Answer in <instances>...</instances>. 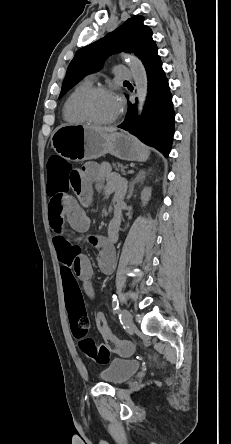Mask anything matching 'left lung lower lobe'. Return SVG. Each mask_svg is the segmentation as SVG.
<instances>
[{
	"mask_svg": "<svg viewBox=\"0 0 231 444\" xmlns=\"http://www.w3.org/2000/svg\"><path fill=\"white\" fill-rule=\"evenodd\" d=\"M144 67L148 79V95L143 115L138 117L137 106L129 102L127 116L118 127L168 156L174 135L175 113L168 79L157 51L144 63Z\"/></svg>",
	"mask_w": 231,
	"mask_h": 444,
	"instance_id": "1",
	"label": "left lung lower lobe"
}]
</instances>
